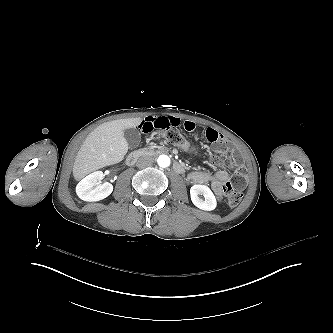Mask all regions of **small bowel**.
<instances>
[{
  "label": "small bowel",
  "instance_id": "c3829d8e",
  "mask_svg": "<svg viewBox=\"0 0 333 333\" xmlns=\"http://www.w3.org/2000/svg\"><path fill=\"white\" fill-rule=\"evenodd\" d=\"M181 121L175 117H148L141 123V128L144 132H149L154 128L177 127ZM184 128L188 131L195 129V123L190 120L183 122ZM206 138L208 142H215L211 145L210 150L214 154H220L227 158L230 162L231 168L235 175H242L245 177L244 166L242 163L243 156L241 153L236 152L232 154L234 145L230 141H224V134L216 132L214 129L206 130ZM209 162L213 166L220 164L221 159L217 155L210 157ZM189 179L195 183L209 184L218 200H221L224 194V188L229 181V175L225 170H217L215 173L208 171H194L189 174Z\"/></svg>",
  "mask_w": 333,
  "mask_h": 333
}]
</instances>
